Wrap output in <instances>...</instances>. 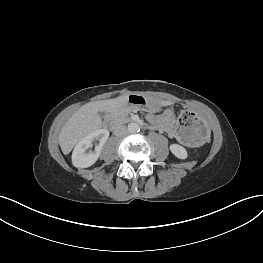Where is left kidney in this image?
<instances>
[{
	"mask_svg": "<svg viewBox=\"0 0 263 263\" xmlns=\"http://www.w3.org/2000/svg\"><path fill=\"white\" fill-rule=\"evenodd\" d=\"M170 151L179 159H186L188 157L186 149L179 144H171Z\"/></svg>",
	"mask_w": 263,
	"mask_h": 263,
	"instance_id": "5707ae66",
	"label": "left kidney"
}]
</instances>
